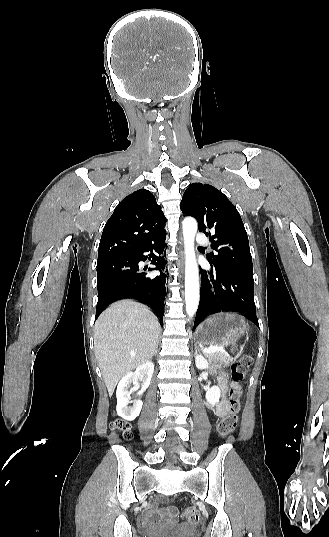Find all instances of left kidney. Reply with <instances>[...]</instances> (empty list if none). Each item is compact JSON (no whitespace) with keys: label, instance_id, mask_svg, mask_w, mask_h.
Listing matches in <instances>:
<instances>
[{"label":"left kidney","instance_id":"5707ae66","mask_svg":"<svg viewBox=\"0 0 329 537\" xmlns=\"http://www.w3.org/2000/svg\"><path fill=\"white\" fill-rule=\"evenodd\" d=\"M195 364L198 369H206L209 366L208 361L202 355L195 357ZM220 396L221 390L218 386H213L206 392V400L212 406H215L219 402Z\"/></svg>","mask_w":329,"mask_h":537}]
</instances>
